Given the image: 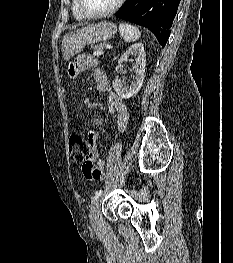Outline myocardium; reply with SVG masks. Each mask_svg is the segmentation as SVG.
Returning a JSON list of instances; mask_svg holds the SVG:
<instances>
[{
  "label": "myocardium",
  "instance_id": "1",
  "mask_svg": "<svg viewBox=\"0 0 233 263\" xmlns=\"http://www.w3.org/2000/svg\"><path fill=\"white\" fill-rule=\"evenodd\" d=\"M76 2H77L78 10L84 18L99 19V18L107 17V16L115 13L116 11H118L120 9V7L123 5V3L125 2V0H116V2L113 4V6H111L109 9L102 11V12H99V13H89V12L85 11L83 6H82V0H76Z\"/></svg>",
  "mask_w": 233,
  "mask_h": 263
}]
</instances>
